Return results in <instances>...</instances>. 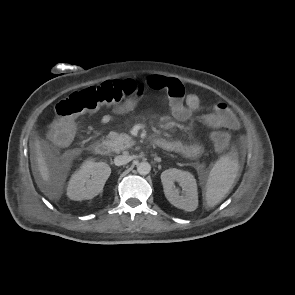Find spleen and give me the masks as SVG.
Masks as SVG:
<instances>
[{
    "instance_id": "1",
    "label": "spleen",
    "mask_w": 295,
    "mask_h": 295,
    "mask_svg": "<svg viewBox=\"0 0 295 295\" xmlns=\"http://www.w3.org/2000/svg\"><path fill=\"white\" fill-rule=\"evenodd\" d=\"M238 168V161L231 154L220 157L214 164L206 184L205 199L208 207L215 206L227 194L237 176Z\"/></svg>"
}]
</instances>
